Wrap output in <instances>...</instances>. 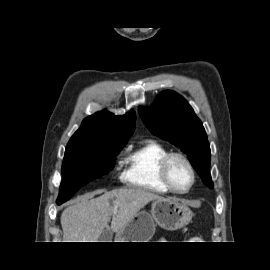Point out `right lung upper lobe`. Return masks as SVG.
Instances as JSON below:
<instances>
[{
  "mask_svg": "<svg viewBox=\"0 0 270 270\" xmlns=\"http://www.w3.org/2000/svg\"><path fill=\"white\" fill-rule=\"evenodd\" d=\"M136 115L131 110L122 116L103 110L82 122V126L71 137L68 144L104 145L127 142L134 131Z\"/></svg>",
  "mask_w": 270,
  "mask_h": 270,
  "instance_id": "cb5924a9",
  "label": "right lung upper lobe"
}]
</instances>
